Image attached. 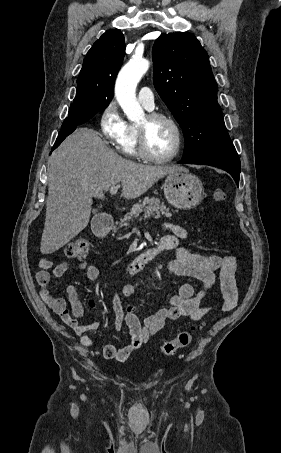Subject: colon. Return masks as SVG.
Returning a JSON list of instances; mask_svg holds the SVG:
<instances>
[{"label": "colon", "mask_w": 281, "mask_h": 453, "mask_svg": "<svg viewBox=\"0 0 281 453\" xmlns=\"http://www.w3.org/2000/svg\"><path fill=\"white\" fill-rule=\"evenodd\" d=\"M225 195V190L218 188L210 194V201L220 205L224 202ZM88 251V241L84 238H75L65 246V255L69 259L84 261L87 259ZM196 334V331L178 334L174 340L163 344L161 348L163 355L171 357L176 351L188 348L195 340Z\"/></svg>", "instance_id": "1"}]
</instances>
